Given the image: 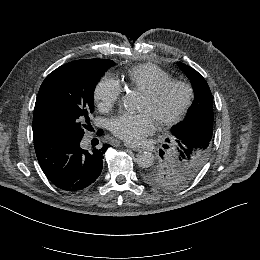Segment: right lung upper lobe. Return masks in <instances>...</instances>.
<instances>
[{
    "label": "right lung upper lobe",
    "mask_w": 260,
    "mask_h": 260,
    "mask_svg": "<svg viewBox=\"0 0 260 260\" xmlns=\"http://www.w3.org/2000/svg\"><path fill=\"white\" fill-rule=\"evenodd\" d=\"M112 62L111 60L106 59H85V60H76L70 63H67L69 66H86V65H102L109 64ZM40 145L39 143H35V146Z\"/></svg>",
    "instance_id": "obj_1"
}]
</instances>
